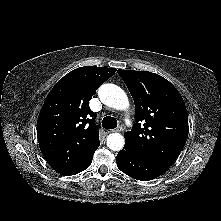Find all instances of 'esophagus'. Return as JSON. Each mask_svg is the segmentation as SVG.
<instances>
[{
    "mask_svg": "<svg viewBox=\"0 0 221 221\" xmlns=\"http://www.w3.org/2000/svg\"><path fill=\"white\" fill-rule=\"evenodd\" d=\"M123 131V127L122 126H118L116 129L110 131V132H121Z\"/></svg>",
    "mask_w": 221,
    "mask_h": 221,
    "instance_id": "34e87169",
    "label": "esophagus"
}]
</instances>
